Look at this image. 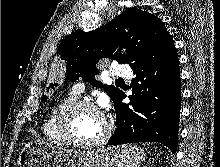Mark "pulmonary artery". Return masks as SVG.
I'll list each match as a JSON object with an SVG mask.
<instances>
[{"instance_id":"e3ab8cb5","label":"pulmonary artery","mask_w":220,"mask_h":167,"mask_svg":"<svg viewBox=\"0 0 220 167\" xmlns=\"http://www.w3.org/2000/svg\"><path fill=\"white\" fill-rule=\"evenodd\" d=\"M131 74L132 71L127 65H115L110 70V75L113 77H130ZM82 91H83V85L80 83L77 84L73 89V93L76 95L80 94Z\"/></svg>"}]
</instances>
